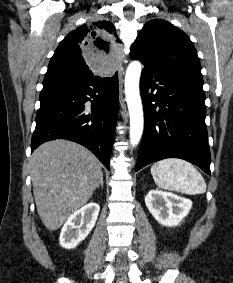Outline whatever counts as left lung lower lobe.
<instances>
[{
	"mask_svg": "<svg viewBox=\"0 0 233 283\" xmlns=\"http://www.w3.org/2000/svg\"><path fill=\"white\" fill-rule=\"evenodd\" d=\"M202 75L144 66L140 92L144 133L135 171L165 159L181 158L210 175Z\"/></svg>",
	"mask_w": 233,
	"mask_h": 283,
	"instance_id": "1",
	"label": "left lung lower lobe"
}]
</instances>
